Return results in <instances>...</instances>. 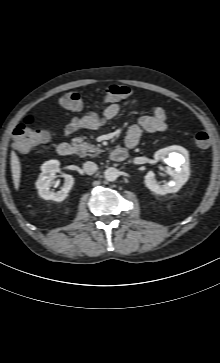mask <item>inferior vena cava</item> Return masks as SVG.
<instances>
[{
    "mask_svg": "<svg viewBox=\"0 0 220 363\" xmlns=\"http://www.w3.org/2000/svg\"><path fill=\"white\" fill-rule=\"evenodd\" d=\"M83 169L87 174L91 175L98 170V167L94 162L87 161L83 164Z\"/></svg>",
    "mask_w": 220,
    "mask_h": 363,
    "instance_id": "obj_1",
    "label": "inferior vena cava"
}]
</instances>
